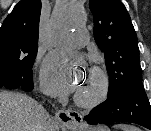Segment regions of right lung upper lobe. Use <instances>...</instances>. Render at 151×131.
<instances>
[{
	"label": "right lung upper lobe",
	"instance_id": "obj_1",
	"mask_svg": "<svg viewBox=\"0 0 151 131\" xmlns=\"http://www.w3.org/2000/svg\"><path fill=\"white\" fill-rule=\"evenodd\" d=\"M40 0H21L0 28V50L19 44L37 53Z\"/></svg>",
	"mask_w": 151,
	"mask_h": 131
}]
</instances>
